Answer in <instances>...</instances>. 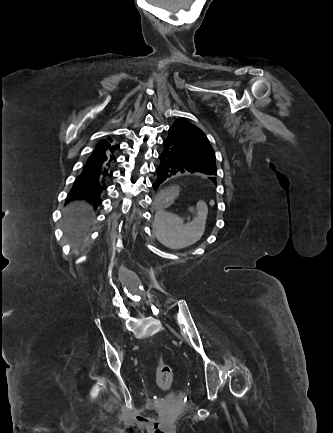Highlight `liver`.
<instances>
[{
    "instance_id": "liver-1",
    "label": "liver",
    "mask_w": 333,
    "mask_h": 433,
    "mask_svg": "<svg viewBox=\"0 0 333 433\" xmlns=\"http://www.w3.org/2000/svg\"><path fill=\"white\" fill-rule=\"evenodd\" d=\"M65 217V233L74 238L75 246H78L79 238L90 230L94 222L92 206L84 200L71 202L65 209Z\"/></svg>"
}]
</instances>
